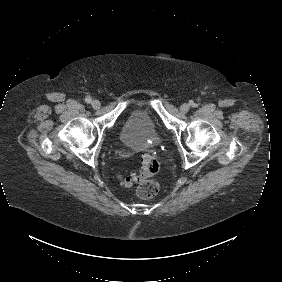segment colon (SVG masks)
Listing matches in <instances>:
<instances>
[{
	"label": "colon",
	"instance_id": "colon-1",
	"mask_svg": "<svg viewBox=\"0 0 282 282\" xmlns=\"http://www.w3.org/2000/svg\"><path fill=\"white\" fill-rule=\"evenodd\" d=\"M161 170V164L159 160L153 155L148 154L144 157L143 166L140 173L133 174L131 176L123 177L120 173L116 174L119 179L120 184L123 187H134V184L141 179L152 177V175H157ZM160 190L159 181H152L148 184L141 185L136 191V195L140 199H152L154 198Z\"/></svg>",
	"mask_w": 282,
	"mask_h": 282
}]
</instances>
